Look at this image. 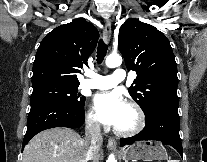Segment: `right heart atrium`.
Segmentation results:
<instances>
[{
	"label": "right heart atrium",
	"instance_id": "obj_1",
	"mask_svg": "<svg viewBox=\"0 0 207 162\" xmlns=\"http://www.w3.org/2000/svg\"><path fill=\"white\" fill-rule=\"evenodd\" d=\"M86 123L92 128L99 127V121L93 110H89L86 114Z\"/></svg>",
	"mask_w": 207,
	"mask_h": 162
}]
</instances>
